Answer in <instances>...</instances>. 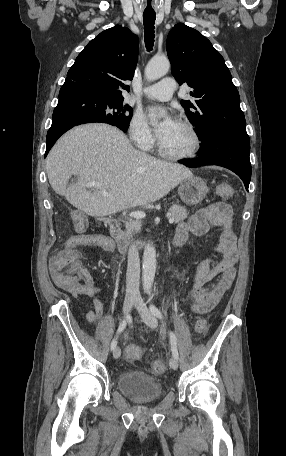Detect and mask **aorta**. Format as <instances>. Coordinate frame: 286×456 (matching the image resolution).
Wrapping results in <instances>:
<instances>
[{
    "instance_id": "obj_1",
    "label": "aorta",
    "mask_w": 286,
    "mask_h": 456,
    "mask_svg": "<svg viewBox=\"0 0 286 456\" xmlns=\"http://www.w3.org/2000/svg\"><path fill=\"white\" fill-rule=\"evenodd\" d=\"M170 62L165 57L152 58L146 68L145 77L148 81L157 80L168 73ZM156 271V250L154 246L148 243L145 246L142 262V281L143 288L150 290L152 288Z\"/></svg>"
}]
</instances>
